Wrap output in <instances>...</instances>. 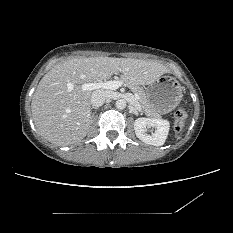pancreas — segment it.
Masks as SVG:
<instances>
[{
	"label": "pancreas",
	"mask_w": 233,
	"mask_h": 233,
	"mask_svg": "<svg viewBox=\"0 0 233 233\" xmlns=\"http://www.w3.org/2000/svg\"><path fill=\"white\" fill-rule=\"evenodd\" d=\"M122 83L129 87L134 93L138 94L139 99L137 100L138 105L142 108L145 114L149 117L160 118L158 112H156L150 105L147 103L146 93L143 88L139 87L136 84L122 80Z\"/></svg>",
	"instance_id": "obj_1"
}]
</instances>
